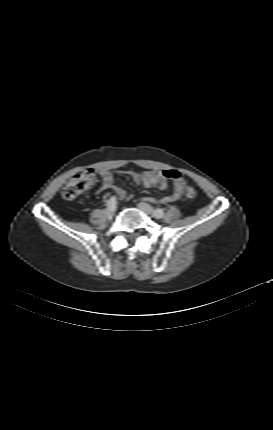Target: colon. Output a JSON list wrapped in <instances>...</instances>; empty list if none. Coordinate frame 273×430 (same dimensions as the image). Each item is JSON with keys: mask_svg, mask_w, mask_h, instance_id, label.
I'll use <instances>...</instances> for the list:
<instances>
[{"mask_svg": "<svg viewBox=\"0 0 273 430\" xmlns=\"http://www.w3.org/2000/svg\"><path fill=\"white\" fill-rule=\"evenodd\" d=\"M96 182L97 174L94 171L85 170L79 172L66 184L62 191V196L66 200H72L90 189ZM196 195L197 192L194 188L189 187L186 190V197L188 199H193Z\"/></svg>", "mask_w": 273, "mask_h": 430, "instance_id": "obj_1", "label": "colon"}]
</instances>
